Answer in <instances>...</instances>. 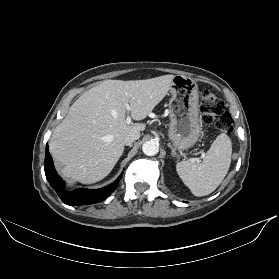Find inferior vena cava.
Here are the masks:
<instances>
[{
  "mask_svg": "<svg viewBox=\"0 0 279 279\" xmlns=\"http://www.w3.org/2000/svg\"><path fill=\"white\" fill-rule=\"evenodd\" d=\"M140 137V132L138 131H131L129 132L125 138H124V143L126 145H131L132 142H134L135 140L139 139Z\"/></svg>",
  "mask_w": 279,
  "mask_h": 279,
  "instance_id": "inferior-vena-cava-1",
  "label": "inferior vena cava"
}]
</instances>
